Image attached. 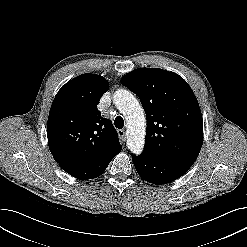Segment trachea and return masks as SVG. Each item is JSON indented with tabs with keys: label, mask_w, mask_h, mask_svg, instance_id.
Returning <instances> with one entry per match:
<instances>
[{
	"label": "trachea",
	"mask_w": 247,
	"mask_h": 247,
	"mask_svg": "<svg viewBox=\"0 0 247 247\" xmlns=\"http://www.w3.org/2000/svg\"><path fill=\"white\" fill-rule=\"evenodd\" d=\"M114 125L118 129H122L124 126V120L121 116H117L114 120Z\"/></svg>",
	"instance_id": "obj_1"
}]
</instances>
